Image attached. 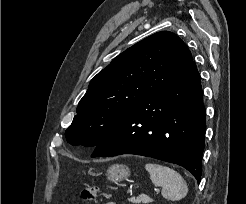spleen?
<instances>
[{
	"instance_id": "3e777b00",
	"label": "spleen",
	"mask_w": 246,
	"mask_h": 204,
	"mask_svg": "<svg viewBox=\"0 0 246 204\" xmlns=\"http://www.w3.org/2000/svg\"><path fill=\"white\" fill-rule=\"evenodd\" d=\"M145 169L155 186L162 187V196L171 201H179L188 193L184 178L174 169L156 163H147Z\"/></svg>"
}]
</instances>
